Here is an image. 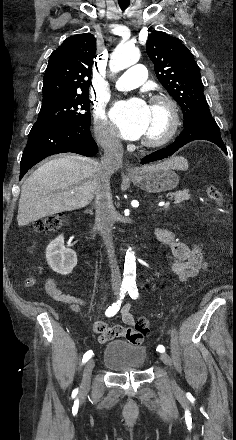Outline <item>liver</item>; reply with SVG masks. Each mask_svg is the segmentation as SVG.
<instances>
[{
	"label": "liver",
	"mask_w": 236,
	"mask_h": 440,
	"mask_svg": "<svg viewBox=\"0 0 236 440\" xmlns=\"http://www.w3.org/2000/svg\"><path fill=\"white\" fill-rule=\"evenodd\" d=\"M183 158L145 166L181 169ZM102 165L79 155H65L41 165L23 183L17 221L28 225L43 217L86 207L94 198Z\"/></svg>",
	"instance_id": "1"
}]
</instances>
